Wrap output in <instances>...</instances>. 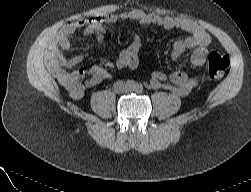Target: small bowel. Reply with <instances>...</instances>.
<instances>
[{"label":"small bowel","mask_w":251,"mask_h":192,"mask_svg":"<svg viewBox=\"0 0 251 192\" xmlns=\"http://www.w3.org/2000/svg\"><path fill=\"white\" fill-rule=\"evenodd\" d=\"M119 20H134L143 24H153L166 29H181L190 33L183 41L173 45L172 58L179 59L185 52L192 51L191 64L193 68L201 67L206 60L208 47L211 43L209 34L196 22L180 17L160 16L146 13L142 10H133L121 14L101 13L95 17L65 24L47 42V55L52 62V67L59 79L66 85L71 96L75 99L83 97L86 89L96 86L110 77V73L102 67H94L89 70L85 78L83 71L66 72L63 68L76 66L84 59L83 55L66 58L62 49L69 47V37L77 28H84L88 35H102L105 32L104 25L116 23ZM139 41L135 39L127 48L122 50L117 59L120 68L134 69L139 62ZM85 78V79H84ZM170 81L172 85L165 84ZM196 80L187 73L174 72L169 75L162 71H155L151 77V86L154 88H167L177 96L188 95L196 86Z\"/></svg>","instance_id":"small-bowel-1"}]
</instances>
